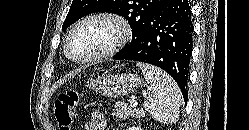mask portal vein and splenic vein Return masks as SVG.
Here are the masks:
<instances>
[{
  "label": "portal vein and splenic vein",
  "instance_id": "obj_1",
  "mask_svg": "<svg viewBox=\"0 0 249 130\" xmlns=\"http://www.w3.org/2000/svg\"><path fill=\"white\" fill-rule=\"evenodd\" d=\"M137 104H138V102H137L136 100H132V101H131V106H132V107H136Z\"/></svg>",
  "mask_w": 249,
  "mask_h": 130
}]
</instances>
